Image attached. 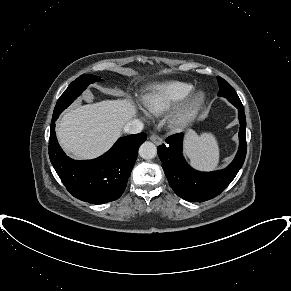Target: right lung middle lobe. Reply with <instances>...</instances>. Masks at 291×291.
<instances>
[{
    "mask_svg": "<svg viewBox=\"0 0 291 291\" xmlns=\"http://www.w3.org/2000/svg\"><path fill=\"white\" fill-rule=\"evenodd\" d=\"M101 81V78L91 74H83L73 81L58 99L54 108L52 120H56L60 113L67 108L91 83Z\"/></svg>",
    "mask_w": 291,
    "mask_h": 291,
    "instance_id": "dd1d6c3e",
    "label": "right lung middle lobe"
}]
</instances>
